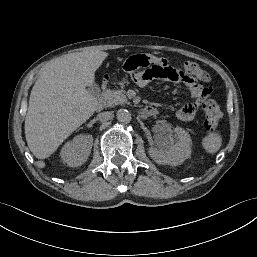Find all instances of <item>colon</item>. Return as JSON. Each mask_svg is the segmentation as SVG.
<instances>
[{
	"label": "colon",
	"instance_id": "obj_1",
	"mask_svg": "<svg viewBox=\"0 0 257 257\" xmlns=\"http://www.w3.org/2000/svg\"><path fill=\"white\" fill-rule=\"evenodd\" d=\"M182 70L193 75L196 80L206 82L210 79L209 74L194 62H186ZM203 112L205 117V127L208 130H215L222 121V114L219 105L213 100H208L203 104Z\"/></svg>",
	"mask_w": 257,
	"mask_h": 257
}]
</instances>
